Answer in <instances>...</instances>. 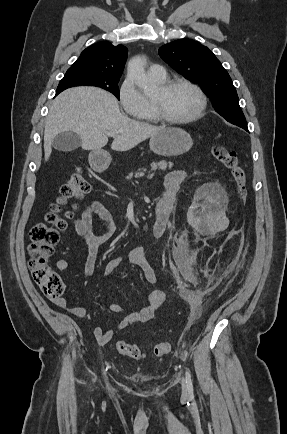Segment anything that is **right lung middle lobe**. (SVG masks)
I'll return each mask as SVG.
<instances>
[{"label":"right lung middle lobe","mask_w":287,"mask_h":434,"mask_svg":"<svg viewBox=\"0 0 287 434\" xmlns=\"http://www.w3.org/2000/svg\"><path fill=\"white\" fill-rule=\"evenodd\" d=\"M118 82L119 78L92 76L79 72L67 71L64 78L60 81L57 91H63L67 88L80 85L96 86L111 92L117 99H120Z\"/></svg>","instance_id":"dd1d6c3e"}]
</instances>
